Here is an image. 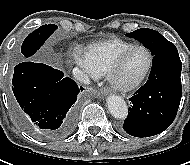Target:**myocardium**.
Masks as SVG:
<instances>
[{
  "label": "myocardium",
  "instance_id": "1",
  "mask_svg": "<svg viewBox=\"0 0 190 165\" xmlns=\"http://www.w3.org/2000/svg\"><path fill=\"white\" fill-rule=\"evenodd\" d=\"M136 49H143L147 52L148 57H149L148 66L146 70L144 71V73L137 80L131 83H122L118 80V73L127 55ZM153 64H154V56L151 50L145 45L135 44L125 49L122 53L119 54V56L117 57L110 71L107 74V79L109 83L111 84V86L118 91H121V92L133 91L137 89L138 87H140L143 84V82L147 79V77L149 76L153 68Z\"/></svg>",
  "mask_w": 190,
  "mask_h": 165
}]
</instances>
